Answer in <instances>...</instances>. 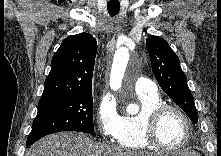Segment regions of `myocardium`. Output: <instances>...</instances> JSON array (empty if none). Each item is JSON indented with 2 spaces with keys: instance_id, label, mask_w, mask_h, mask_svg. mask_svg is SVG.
<instances>
[{
  "instance_id": "f54148a6",
  "label": "myocardium",
  "mask_w": 221,
  "mask_h": 156,
  "mask_svg": "<svg viewBox=\"0 0 221 156\" xmlns=\"http://www.w3.org/2000/svg\"><path fill=\"white\" fill-rule=\"evenodd\" d=\"M168 111H175L176 113H178L180 117L183 119L186 128V134L183 141L178 146L175 147H169L162 144L157 135L159 123L162 117L164 116V114ZM143 135L144 139L151 147L163 151H177L182 149L189 142L192 135V125L188 115L185 113V111L182 108L174 104L162 103L154 107L146 115L143 125Z\"/></svg>"
}]
</instances>
